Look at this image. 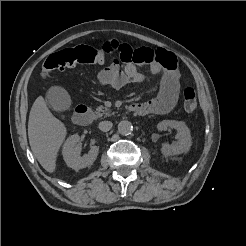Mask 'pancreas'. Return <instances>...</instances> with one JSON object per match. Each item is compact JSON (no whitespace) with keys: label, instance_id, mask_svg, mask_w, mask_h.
I'll return each mask as SVG.
<instances>
[{"label":"pancreas","instance_id":"1","mask_svg":"<svg viewBox=\"0 0 246 246\" xmlns=\"http://www.w3.org/2000/svg\"><path fill=\"white\" fill-rule=\"evenodd\" d=\"M107 115H111V110L108 109L107 107H104V106H98L96 108V111L94 112V118L97 119V118H100L102 116H107Z\"/></svg>","mask_w":246,"mask_h":246}]
</instances>
